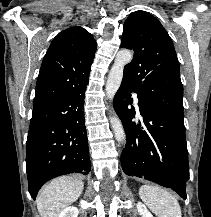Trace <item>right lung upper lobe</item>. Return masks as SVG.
Listing matches in <instances>:
<instances>
[{
    "instance_id": "cb5924a9",
    "label": "right lung upper lobe",
    "mask_w": 211,
    "mask_h": 217,
    "mask_svg": "<svg viewBox=\"0 0 211 217\" xmlns=\"http://www.w3.org/2000/svg\"><path fill=\"white\" fill-rule=\"evenodd\" d=\"M95 51L96 42L85 29L75 26L60 32L44 56L33 109L58 101L87 84Z\"/></svg>"
}]
</instances>
